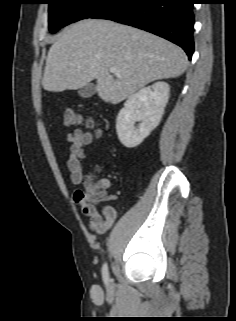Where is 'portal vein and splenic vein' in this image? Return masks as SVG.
Returning a JSON list of instances; mask_svg holds the SVG:
<instances>
[{"label": "portal vein and splenic vein", "mask_w": 236, "mask_h": 321, "mask_svg": "<svg viewBox=\"0 0 236 321\" xmlns=\"http://www.w3.org/2000/svg\"><path fill=\"white\" fill-rule=\"evenodd\" d=\"M110 72L114 75H119L122 71L116 67H110Z\"/></svg>", "instance_id": "18ae733b"}]
</instances>
